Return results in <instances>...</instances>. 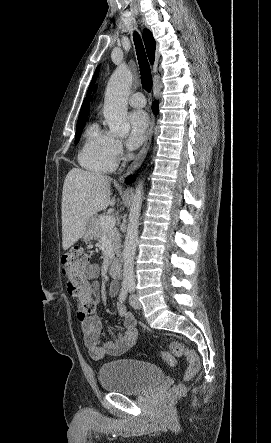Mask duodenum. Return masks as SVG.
I'll return each mask as SVG.
<instances>
[{
	"mask_svg": "<svg viewBox=\"0 0 271 443\" xmlns=\"http://www.w3.org/2000/svg\"><path fill=\"white\" fill-rule=\"evenodd\" d=\"M109 272L112 277H119L121 274V264L118 259H113L109 265Z\"/></svg>",
	"mask_w": 271,
	"mask_h": 443,
	"instance_id": "obj_1",
	"label": "duodenum"
}]
</instances>
